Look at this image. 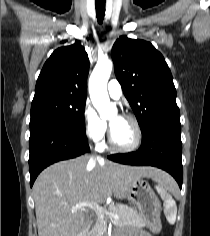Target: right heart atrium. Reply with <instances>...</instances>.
Returning a JSON list of instances; mask_svg holds the SVG:
<instances>
[{"instance_id":"d8ad5b80","label":"right heart atrium","mask_w":210,"mask_h":236,"mask_svg":"<svg viewBox=\"0 0 210 236\" xmlns=\"http://www.w3.org/2000/svg\"><path fill=\"white\" fill-rule=\"evenodd\" d=\"M82 123L85 136L94 143H100L107 131L106 123L98 116L92 105L87 102L82 113Z\"/></svg>"}]
</instances>
